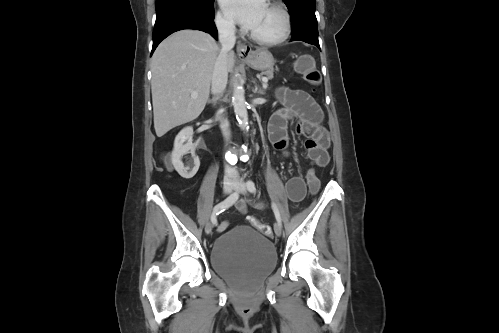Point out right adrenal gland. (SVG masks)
Wrapping results in <instances>:
<instances>
[{
	"label": "right adrenal gland",
	"instance_id": "1",
	"mask_svg": "<svg viewBox=\"0 0 499 333\" xmlns=\"http://www.w3.org/2000/svg\"><path fill=\"white\" fill-rule=\"evenodd\" d=\"M218 100V97H213L212 99H209L208 100V103H212V104H215Z\"/></svg>",
	"mask_w": 499,
	"mask_h": 333
}]
</instances>
